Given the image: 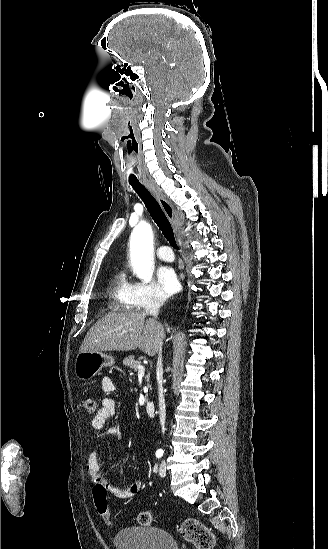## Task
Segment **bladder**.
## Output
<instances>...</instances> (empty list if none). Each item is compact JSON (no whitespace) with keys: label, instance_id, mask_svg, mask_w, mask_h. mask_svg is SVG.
<instances>
[{"label":"bladder","instance_id":"1","mask_svg":"<svg viewBox=\"0 0 328 549\" xmlns=\"http://www.w3.org/2000/svg\"><path fill=\"white\" fill-rule=\"evenodd\" d=\"M114 545L117 549H176L169 532L149 527L121 530L115 535Z\"/></svg>","mask_w":328,"mask_h":549}]
</instances>
